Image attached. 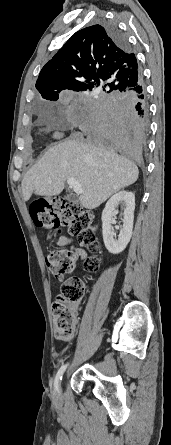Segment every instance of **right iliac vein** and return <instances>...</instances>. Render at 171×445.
Segmentation results:
<instances>
[{
	"label": "right iliac vein",
	"mask_w": 171,
	"mask_h": 445,
	"mask_svg": "<svg viewBox=\"0 0 171 445\" xmlns=\"http://www.w3.org/2000/svg\"><path fill=\"white\" fill-rule=\"evenodd\" d=\"M60 389V385L58 386V390Z\"/></svg>",
	"instance_id": "right-iliac-vein-1"
}]
</instances>
